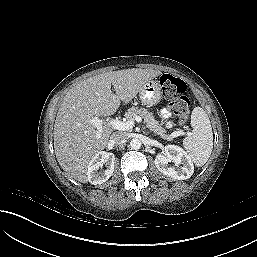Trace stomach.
Instances as JSON below:
<instances>
[{
	"label": "stomach",
	"mask_w": 257,
	"mask_h": 257,
	"mask_svg": "<svg viewBox=\"0 0 257 257\" xmlns=\"http://www.w3.org/2000/svg\"><path fill=\"white\" fill-rule=\"evenodd\" d=\"M139 99L148 107L157 105L161 100V87L158 81L151 79L146 82L139 91Z\"/></svg>",
	"instance_id": "obj_1"
}]
</instances>
